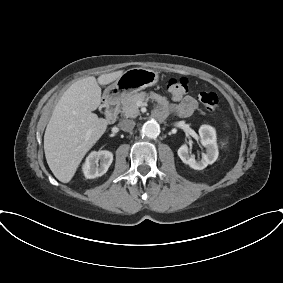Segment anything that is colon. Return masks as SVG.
Instances as JSON below:
<instances>
[{
    "mask_svg": "<svg viewBox=\"0 0 283 283\" xmlns=\"http://www.w3.org/2000/svg\"><path fill=\"white\" fill-rule=\"evenodd\" d=\"M167 90L173 98L183 96L188 90V81L185 78H172L167 83ZM199 99L204 108L210 112L218 109L219 100L212 91H201Z\"/></svg>",
    "mask_w": 283,
    "mask_h": 283,
    "instance_id": "colon-1",
    "label": "colon"
}]
</instances>
